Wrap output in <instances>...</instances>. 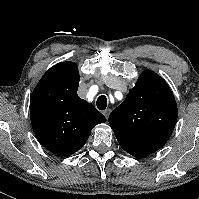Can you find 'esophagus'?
Returning <instances> with one entry per match:
<instances>
[{
    "label": "esophagus",
    "instance_id": "obj_1",
    "mask_svg": "<svg viewBox=\"0 0 199 199\" xmlns=\"http://www.w3.org/2000/svg\"><path fill=\"white\" fill-rule=\"evenodd\" d=\"M103 114L106 118H108L109 114H110V109H106L103 111Z\"/></svg>",
    "mask_w": 199,
    "mask_h": 199
}]
</instances>
